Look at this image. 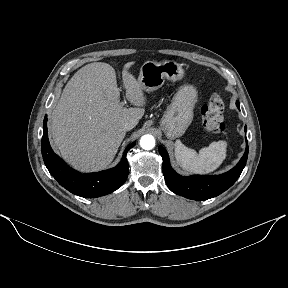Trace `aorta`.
I'll list each match as a JSON object with an SVG mask.
<instances>
[{
  "label": "aorta",
  "mask_w": 288,
  "mask_h": 288,
  "mask_svg": "<svg viewBox=\"0 0 288 288\" xmlns=\"http://www.w3.org/2000/svg\"><path fill=\"white\" fill-rule=\"evenodd\" d=\"M140 146L145 150H151L155 147V139L152 135H144L140 139Z\"/></svg>",
  "instance_id": "1"
}]
</instances>
